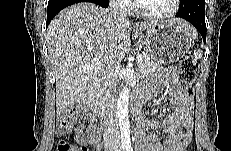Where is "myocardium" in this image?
<instances>
[{"label":"myocardium","instance_id":"myocardium-1","mask_svg":"<svg viewBox=\"0 0 231 151\" xmlns=\"http://www.w3.org/2000/svg\"><path fill=\"white\" fill-rule=\"evenodd\" d=\"M179 3H180L179 0H172L171 8L167 12L161 13V14H151V13L145 12L141 7L140 2L136 1L134 2V10L140 17L146 20L160 21V20H165V19L172 17L176 13Z\"/></svg>","mask_w":231,"mask_h":151}]
</instances>
